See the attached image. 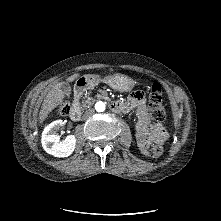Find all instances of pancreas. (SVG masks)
Wrapping results in <instances>:
<instances>
[{
  "mask_svg": "<svg viewBox=\"0 0 221 221\" xmlns=\"http://www.w3.org/2000/svg\"><path fill=\"white\" fill-rule=\"evenodd\" d=\"M94 99L88 97L85 101H83V107H89L93 104Z\"/></svg>",
  "mask_w": 221,
  "mask_h": 221,
  "instance_id": "obj_1",
  "label": "pancreas"
}]
</instances>
